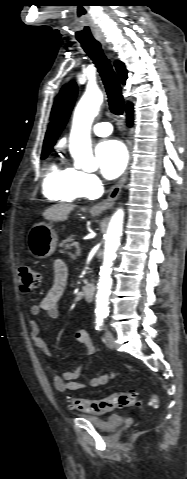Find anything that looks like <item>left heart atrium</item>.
Wrapping results in <instances>:
<instances>
[{
  "mask_svg": "<svg viewBox=\"0 0 187 479\" xmlns=\"http://www.w3.org/2000/svg\"><path fill=\"white\" fill-rule=\"evenodd\" d=\"M95 153L101 172L107 179L118 177L126 167L127 152L123 144L117 140L100 142Z\"/></svg>",
  "mask_w": 187,
  "mask_h": 479,
  "instance_id": "1",
  "label": "left heart atrium"
}]
</instances>
